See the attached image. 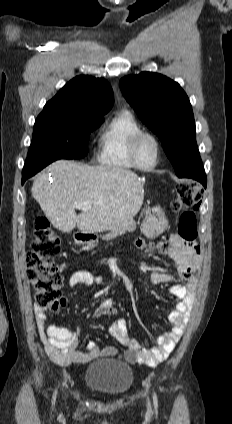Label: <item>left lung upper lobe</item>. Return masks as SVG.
Wrapping results in <instances>:
<instances>
[{"label": "left lung upper lobe", "mask_w": 232, "mask_h": 424, "mask_svg": "<svg viewBox=\"0 0 232 424\" xmlns=\"http://www.w3.org/2000/svg\"><path fill=\"white\" fill-rule=\"evenodd\" d=\"M119 84L138 117L161 140L178 177L202 163L192 107L178 83L158 73L142 72L122 78Z\"/></svg>", "instance_id": "1"}]
</instances>
